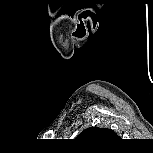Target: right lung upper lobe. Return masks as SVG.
<instances>
[{
    "mask_svg": "<svg viewBox=\"0 0 153 153\" xmlns=\"http://www.w3.org/2000/svg\"><path fill=\"white\" fill-rule=\"evenodd\" d=\"M118 138L117 134L107 128L90 127L82 131L76 139L80 141L95 142L100 140H108Z\"/></svg>",
    "mask_w": 153,
    "mask_h": 153,
    "instance_id": "right-lung-upper-lobe-1",
    "label": "right lung upper lobe"
}]
</instances>
